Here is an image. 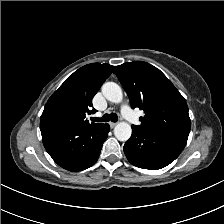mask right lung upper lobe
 I'll use <instances>...</instances> for the list:
<instances>
[{
    "label": "right lung upper lobe",
    "mask_w": 224,
    "mask_h": 224,
    "mask_svg": "<svg viewBox=\"0 0 224 224\" xmlns=\"http://www.w3.org/2000/svg\"><path fill=\"white\" fill-rule=\"evenodd\" d=\"M114 66L109 64L91 63L85 65L70 75L47 101L41 120L49 119V115L58 112L65 123L91 127L99 123H89L85 119L91 110L92 99L104 81L112 73Z\"/></svg>",
    "instance_id": "cb5924a9"
}]
</instances>
